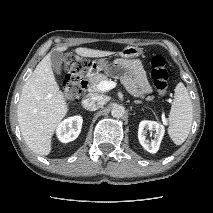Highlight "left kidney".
<instances>
[{
	"label": "left kidney",
	"instance_id": "left-kidney-1",
	"mask_svg": "<svg viewBox=\"0 0 213 213\" xmlns=\"http://www.w3.org/2000/svg\"><path fill=\"white\" fill-rule=\"evenodd\" d=\"M147 130L155 131L154 140L146 139ZM165 128L156 121L143 120L139 124L138 139L141 146L150 153H156L164 136Z\"/></svg>",
	"mask_w": 213,
	"mask_h": 213
}]
</instances>
